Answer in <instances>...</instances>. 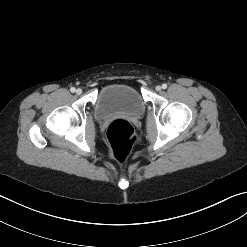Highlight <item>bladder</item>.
Segmentation results:
<instances>
[{
  "instance_id": "obj_1",
  "label": "bladder",
  "mask_w": 247,
  "mask_h": 247,
  "mask_svg": "<svg viewBox=\"0 0 247 247\" xmlns=\"http://www.w3.org/2000/svg\"><path fill=\"white\" fill-rule=\"evenodd\" d=\"M145 109V103L140 93L131 85L110 84L99 93L95 112L99 119L123 114L139 116Z\"/></svg>"
}]
</instances>
